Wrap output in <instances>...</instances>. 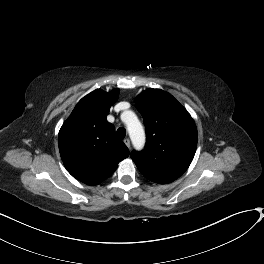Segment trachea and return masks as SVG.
Listing matches in <instances>:
<instances>
[{"label":"trachea","mask_w":264,"mask_h":264,"mask_svg":"<svg viewBox=\"0 0 264 264\" xmlns=\"http://www.w3.org/2000/svg\"><path fill=\"white\" fill-rule=\"evenodd\" d=\"M117 135L120 139H124L126 136V130L124 128H118Z\"/></svg>","instance_id":"3493384b"}]
</instances>
